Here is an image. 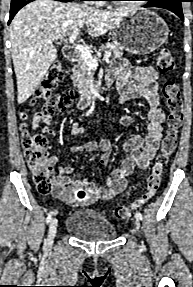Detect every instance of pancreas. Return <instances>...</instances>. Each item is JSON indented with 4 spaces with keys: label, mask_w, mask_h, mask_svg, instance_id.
Here are the masks:
<instances>
[{
    "label": "pancreas",
    "mask_w": 193,
    "mask_h": 287,
    "mask_svg": "<svg viewBox=\"0 0 193 287\" xmlns=\"http://www.w3.org/2000/svg\"><path fill=\"white\" fill-rule=\"evenodd\" d=\"M109 49L112 58H121L123 55V46L119 43H107L106 46H101L100 50ZM95 58H97L95 56ZM93 76V69L89 67L81 56L77 58V64L72 70L71 79L73 85L79 89V92L85 96L89 95L90 79Z\"/></svg>",
    "instance_id": "obj_1"
}]
</instances>
